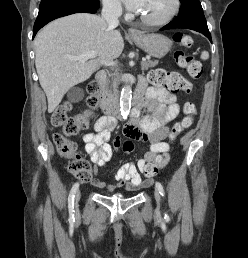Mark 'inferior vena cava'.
<instances>
[{
    "instance_id": "602c4592",
    "label": "inferior vena cava",
    "mask_w": 248,
    "mask_h": 258,
    "mask_svg": "<svg viewBox=\"0 0 248 258\" xmlns=\"http://www.w3.org/2000/svg\"><path fill=\"white\" fill-rule=\"evenodd\" d=\"M102 18L107 22L110 29H114L119 25V16L121 15V8L119 5L112 2H104L101 12Z\"/></svg>"
}]
</instances>
